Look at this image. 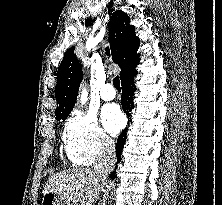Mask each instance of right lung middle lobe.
Instances as JSON below:
<instances>
[{"mask_svg":"<svg viewBox=\"0 0 222 205\" xmlns=\"http://www.w3.org/2000/svg\"><path fill=\"white\" fill-rule=\"evenodd\" d=\"M66 118H63V120H65ZM57 120H61V119H57Z\"/></svg>","mask_w":222,"mask_h":205,"instance_id":"1","label":"right lung middle lobe"}]
</instances>
